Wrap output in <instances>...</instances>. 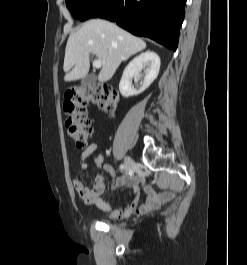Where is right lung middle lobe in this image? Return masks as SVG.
Wrapping results in <instances>:
<instances>
[{
    "instance_id": "right-lung-middle-lobe-1",
    "label": "right lung middle lobe",
    "mask_w": 247,
    "mask_h": 265,
    "mask_svg": "<svg viewBox=\"0 0 247 265\" xmlns=\"http://www.w3.org/2000/svg\"><path fill=\"white\" fill-rule=\"evenodd\" d=\"M101 0H66L67 8L76 19H82L86 12Z\"/></svg>"
}]
</instances>
